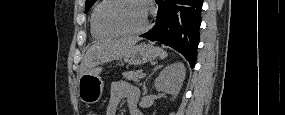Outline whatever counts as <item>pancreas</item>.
Here are the masks:
<instances>
[{
	"mask_svg": "<svg viewBox=\"0 0 285 115\" xmlns=\"http://www.w3.org/2000/svg\"><path fill=\"white\" fill-rule=\"evenodd\" d=\"M141 74H142L141 70L128 71L123 73V77L126 80H133L134 82L139 83Z\"/></svg>",
	"mask_w": 285,
	"mask_h": 115,
	"instance_id": "cf45deb5",
	"label": "pancreas"
}]
</instances>
